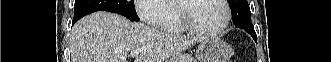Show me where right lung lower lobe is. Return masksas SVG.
I'll use <instances>...</instances> for the list:
<instances>
[{"label":"right lung lower lobe","mask_w":331,"mask_h":62,"mask_svg":"<svg viewBox=\"0 0 331 62\" xmlns=\"http://www.w3.org/2000/svg\"><path fill=\"white\" fill-rule=\"evenodd\" d=\"M76 21H77V19H73V23H72V25H73Z\"/></svg>","instance_id":"obj_1"}]
</instances>
